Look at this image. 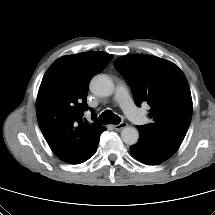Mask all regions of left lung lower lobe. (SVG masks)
<instances>
[{
    "instance_id": "obj_1",
    "label": "left lung lower lobe",
    "mask_w": 215,
    "mask_h": 215,
    "mask_svg": "<svg viewBox=\"0 0 215 215\" xmlns=\"http://www.w3.org/2000/svg\"><path fill=\"white\" fill-rule=\"evenodd\" d=\"M139 130V140L130 147L131 154L147 165H157L169 159L177 150L153 139L146 131Z\"/></svg>"
}]
</instances>
